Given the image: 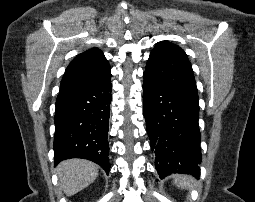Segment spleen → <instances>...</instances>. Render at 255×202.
<instances>
[{"label":"spleen","mask_w":255,"mask_h":202,"mask_svg":"<svg viewBox=\"0 0 255 202\" xmlns=\"http://www.w3.org/2000/svg\"><path fill=\"white\" fill-rule=\"evenodd\" d=\"M174 182L178 187L188 189L193 185V179L187 175H175Z\"/></svg>","instance_id":"spleen-1"}]
</instances>
